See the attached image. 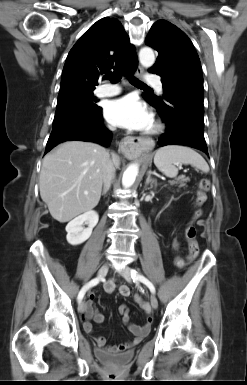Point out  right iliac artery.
Listing matches in <instances>:
<instances>
[{"label":"right iliac artery","instance_id":"82829eb1","mask_svg":"<svg viewBox=\"0 0 247 385\" xmlns=\"http://www.w3.org/2000/svg\"><path fill=\"white\" fill-rule=\"evenodd\" d=\"M99 281H100V278H94V279H92L90 282H88V283H87V284L80 290V292H79V294H78V297H77L78 302H80V301L83 299V297H84L86 291H87L89 288H91V287L97 285V284L99 283Z\"/></svg>","mask_w":247,"mask_h":385}]
</instances>
